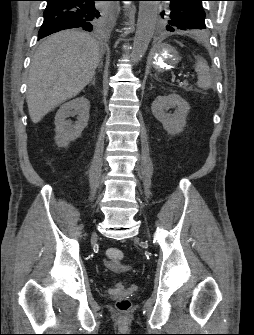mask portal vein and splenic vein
<instances>
[{
    "instance_id": "portal-vein-and-splenic-vein-1",
    "label": "portal vein and splenic vein",
    "mask_w": 254,
    "mask_h": 335,
    "mask_svg": "<svg viewBox=\"0 0 254 335\" xmlns=\"http://www.w3.org/2000/svg\"><path fill=\"white\" fill-rule=\"evenodd\" d=\"M188 77H189V75H188V74L184 75V78H188Z\"/></svg>"
}]
</instances>
